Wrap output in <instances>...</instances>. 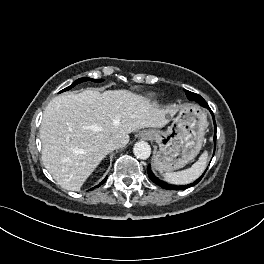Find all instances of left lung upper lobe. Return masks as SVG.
<instances>
[{
	"label": "left lung upper lobe",
	"instance_id": "left-lung-upper-lobe-1",
	"mask_svg": "<svg viewBox=\"0 0 264 264\" xmlns=\"http://www.w3.org/2000/svg\"><path fill=\"white\" fill-rule=\"evenodd\" d=\"M185 93H186V95H187V98L189 99V100H196V97L198 96L197 94H195V93H192V92H190V91H187V90H185ZM197 101V100H196Z\"/></svg>",
	"mask_w": 264,
	"mask_h": 264
}]
</instances>
